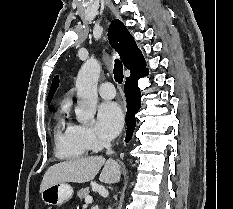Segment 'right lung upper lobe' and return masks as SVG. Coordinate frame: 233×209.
Wrapping results in <instances>:
<instances>
[{"label":"right lung upper lobe","mask_w":233,"mask_h":209,"mask_svg":"<svg viewBox=\"0 0 233 209\" xmlns=\"http://www.w3.org/2000/svg\"><path fill=\"white\" fill-rule=\"evenodd\" d=\"M109 43L118 52L126 68L131 72L130 77H135L146 70V62L141 51L138 49L133 36L125 25L118 19L111 22L108 30ZM59 86V77L55 76L48 94V102Z\"/></svg>","instance_id":"obj_1"}]
</instances>
